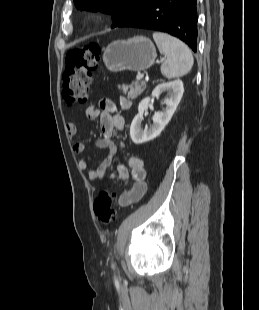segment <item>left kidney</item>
<instances>
[{
    "instance_id": "left-kidney-1",
    "label": "left kidney",
    "mask_w": 259,
    "mask_h": 310,
    "mask_svg": "<svg viewBox=\"0 0 259 310\" xmlns=\"http://www.w3.org/2000/svg\"><path fill=\"white\" fill-rule=\"evenodd\" d=\"M164 91L169 92V97L164 100L165 109L162 112H157L153 117V125L150 127L146 126L144 129L141 127L143 114L148 109L151 98L147 97L139 103L138 114L134 117L130 127V136L135 144H142L153 140L163 131L171 120L183 96V82L177 79L171 82L161 83L152 91V97L158 96Z\"/></svg>"
}]
</instances>
